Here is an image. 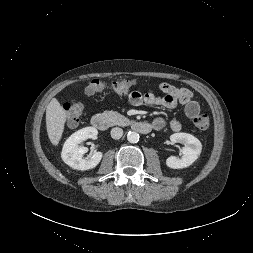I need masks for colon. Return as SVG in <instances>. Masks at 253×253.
Listing matches in <instances>:
<instances>
[{
	"label": "colon",
	"mask_w": 253,
	"mask_h": 253,
	"mask_svg": "<svg viewBox=\"0 0 253 253\" xmlns=\"http://www.w3.org/2000/svg\"><path fill=\"white\" fill-rule=\"evenodd\" d=\"M133 84L134 82L128 79L113 81L110 84L100 79H92L88 82L85 91L87 94L92 95L108 89L116 94H125L129 91ZM63 109L66 114L67 124L70 126H74L79 122L84 111L81 103H65L63 105ZM194 124L198 129L206 130L210 124L209 116L207 114H200L196 116Z\"/></svg>",
	"instance_id": "1"
}]
</instances>
